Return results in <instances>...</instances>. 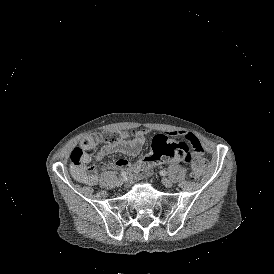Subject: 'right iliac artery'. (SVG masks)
I'll list each match as a JSON object with an SVG mask.
<instances>
[{"label":"right iliac artery","instance_id":"1","mask_svg":"<svg viewBox=\"0 0 274 274\" xmlns=\"http://www.w3.org/2000/svg\"><path fill=\"white\" fill-rule=\"evenodd\" d=\"M127 175H128V173L125 171L121 173V177H123V178H125Z\"/></svg>","mask_w":274,"mask_h":274}]
</instances>
